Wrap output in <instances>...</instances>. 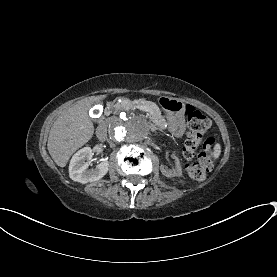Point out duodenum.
Listing matches in <instances>:
<instances>
[{"label":"duodenum","instance_id":"obj_1","mask_svg":"<svg viewBox=\"0 0 277 277\" xmlns=\"http://www.w3.org/2000/svg\"><path fill=\"white\" fill-rule=\"evenodd\" d=\"M110 108H111V104H108V106L106 107V110H105V113H106V114L109 113Z\"/></svg>","mask_w":277,"mask_h":277}]
</instances>
